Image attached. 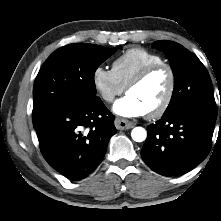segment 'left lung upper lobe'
I'll list each match as a JSON object with an SVG mask.
<instances>
[{
    "mask_svg": "<svg viewBox=\"0 0 221 221\" xmlns=\"http://www.w3.org/2000/svg\"><path fill=\"white\" fill-rule=\"evenodd\" d=\"M152 46L169 56L175 78L173 95L164 115L193 107L217 117L211 79L201 61L176 42L162 40Z\"/></svg>",
    "mask_w": 221,
    "mask_h": 221,
    "instance_id": "1",
    "label": "left lung upper lobe"
}]
</instances>
